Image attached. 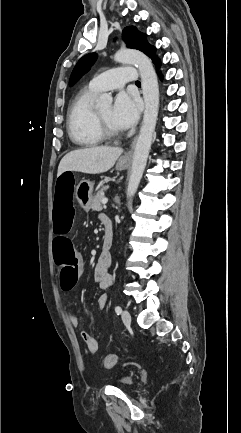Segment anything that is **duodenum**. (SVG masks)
Returning <instances> with one entry per match:
<instances>
[{
    "mask_svg": "<svg viewBox=\"0 0 241 433\" xmlns=\"http://www.w3.org/2000/svg\"><path fill=\"white\" fill-rule=\"evenodd\" d=\"M102 223L105 227L102 254L108 255L114 239V226L112 220L108 216L102 218Z\"/></svg>",
    "mask_w": 241,
    "mask_h": 433,
    "instance_id": "obj_1",
    "label": "duodenum"
}]
</instances>
